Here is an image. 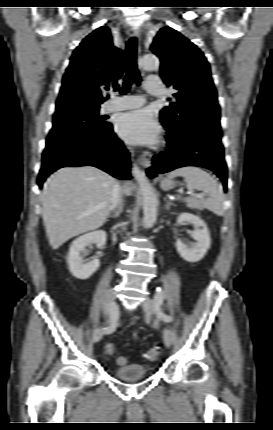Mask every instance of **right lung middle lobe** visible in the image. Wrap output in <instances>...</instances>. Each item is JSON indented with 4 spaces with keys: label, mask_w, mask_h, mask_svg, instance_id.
<instances>
[{
    "label": "right lung middle lobe",
    "mask_w": 273,
    "mask_h": 430,
    "mask_svg": "<svg viewBox=\"0 0 273 430\" xmlns=\"http://www.w3.org/2000/svg\"><path fill=\"white\" fill-rule=\"evenodd\" d=\"M99 105L72 100L56 107L46 148L73 140L94 137L112 126L99 116Z\"/></svg>",
    "instance_id": "right-lung-middle-lobe-1"
}]
</instances>
